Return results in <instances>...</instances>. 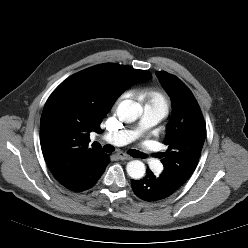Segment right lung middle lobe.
<instances>
[{
    "label": "right lung middle lobe",
    "mask_w": 248,
    "mask_h": 248,
    "mask_svg": "<svg viewBox=\"0 0 248 248\" xmlns=\"http://www.w3.org/2000/svg\"><path fill=\"white\" fill-rule=\"evenodd\" d=\"M143 76L142 71L130 68L126 71L125 77L130 80L137 81Z\"/></svg>",
    "instance_id": "1"
}]
</instances>
